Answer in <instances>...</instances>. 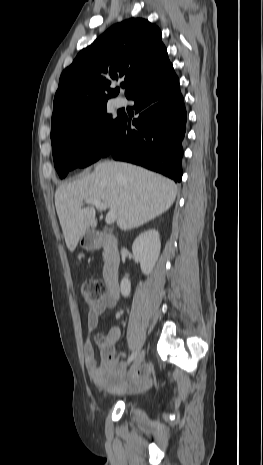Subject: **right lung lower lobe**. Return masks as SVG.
Returning a JSON list of instances; mask_svg holds the SVG:
<instances>
[{"label":"right lung lower lobe","mask_w":263,"mask_h":465,"mask_svg":"<svg viewBox=\"0 0 263 465\" xmlns=\"http://www.w3.org/2000/svg\"><path fill=\"white\" fill-rule=\"evenodd\" d=\"M135 101L132 124L122 115L102 157L109 154L160 172L176 182L182 178V141L186 131V109L173 66L150 80L129 97Z\"/></svg>","instance_id":"right-lung-lower-lobe-1"}]
</instances>
